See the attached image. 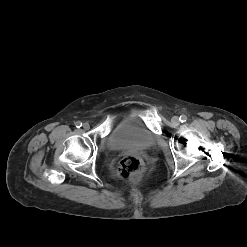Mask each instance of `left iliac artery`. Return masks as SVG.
I'll use <instances>...</instances> for the list:
<instances>
[{
    "label": "left iliac artery",
    "mask_w": 247,
    "mask_h": 247,
    "mask_svg": "<svg viewBox=\"0 0 247 247\" xmlns=\"http://www.w3.org/2000/svg\"><path fill=\"white\" fill-rule=\"evenodd\" d=\"M179 120L181 122H186L187 121V116L186 115H181L180 118H179Z\"/></svg>",
    "instance_id": "left-iliac-artery-1"
}]
</instances>
